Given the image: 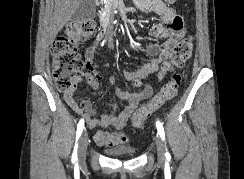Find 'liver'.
<instances>
[{"mask_svg": "<svg viewBox=\"0 0 244 179\" xmlns=\"http://www.w3.org/2000/svg\"><path fill=\"white\" fill-rule=\"evenodd\" d=\"M81 0H55L54 14L50 20V42H54L58 32L71 20Z\"/></svg>", "mask_w": 244, "mask_h": 179, "instance_id": "6515ba94", "label": "liver"}]
</instances>
